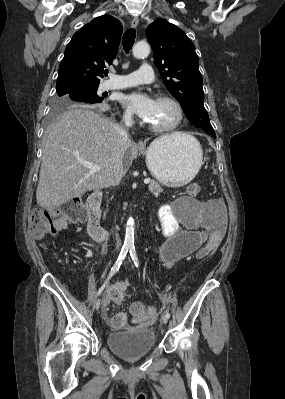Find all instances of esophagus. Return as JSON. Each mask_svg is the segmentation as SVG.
<instances>
[{"label":"esophagus","instance_id":"obj_1","mask_svg":"<svg viewBox=\"0 0 285 399\" xmlns=\"http://www.w3.org/2000/svg\"><path fill=\"white\" fill-rule=\"evenodd\" d=\"M138 23H139V19H138V17L135 16V17L132 19V21H131V27H132V28H136V27L138 26ZM137 147L143 149V148H145V143H144L142 140H140V141L137 143Z\"/></svg>","mask_w":285,"mask_h":399}]
</instances>
